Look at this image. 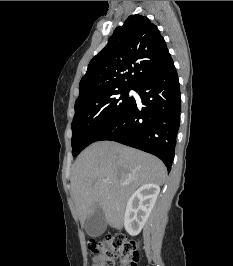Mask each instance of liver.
<instances>
[{
	"label": "liver",
	"mask_w": 233,
	"mask_h": 266,
	"mask_svg": "<svg viewBox=\"0 0 233 266\" xmlns=\"http://www.w3.org/2000/svg\"><path fill=\"white\" fill-rule=\"evenodd\" d=\"M166 175L165 165L153 155L114 141L91 144L77 157L71 174L79 220L85 223L100 206L107 223L121 230L131 194L144 184L163 185Z\"/></svg>",
	"instance_id": "6515ba94"
}]
</instances>
